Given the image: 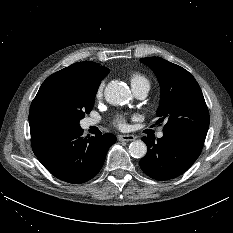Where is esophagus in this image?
<instances>
[{
    "label": "esophagus",
    "mask_w": 233,
    "mask_h": 233,
    "mask_svg": "<svg viewBox=\"0 0 233 233\" xmlns=\"http://www.w3.org/2000/svg\"><path fill=\"white\" fill-rule=\"evenodd\" d=\"M119 141H134L136 137L134 135H119Z\"/></svg>",
    "instance_id": "34e87169"
}]
</instances>
